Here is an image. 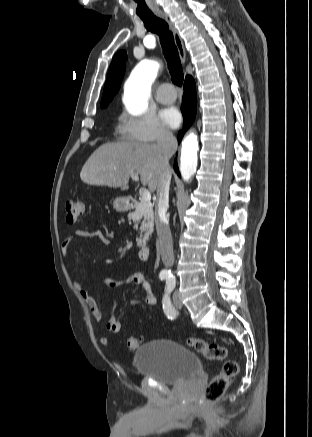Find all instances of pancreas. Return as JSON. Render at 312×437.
Here are the masks:
<instances>
[{
	"label": "pancreas",
	"mask_w": 312,
	"mask_h": 437,
	"mask_svg": "<svg viewBox=\"0 0 312 437\" xmlns=\"http://www.w3.org/2000/svg\"><path fill=\"white\" fill-rule=\"evenodd\" d=\"M128 219L133 220L135 229L138 228L139 223L141 224L140 238H137L136 241L140 246L145 245L148 237L153 232V227H154L153 206L147 201L140 200V202L135 206V211L130 212L128 214Z\"/></svg>",
	"instance_id": "pancreas-1"
}]
</instances>
